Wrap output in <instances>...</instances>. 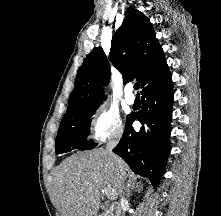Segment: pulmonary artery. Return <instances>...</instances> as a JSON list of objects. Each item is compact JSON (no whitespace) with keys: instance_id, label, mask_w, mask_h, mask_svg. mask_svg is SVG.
<instances>
[{"instance_id":"1","label":"pulmonary artery","mask_w":221,"mask_h":216,"mask_svg":"<svg viewBox=\"0 0 221 216\" xmlns=\"http://www.w3.org/2000/svg\"><path fill=\"white\" fill-rule=\"evenodd\" d=\"M132 90H133L132 86L129 85L126 88V92H125V100L129 105L134 104L136 100L135 95L133 94Z\"/></svg>"}]
</instances>
